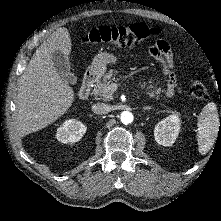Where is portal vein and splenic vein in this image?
<instances>
[{
	"instance_id": "1",
	"label": "portal vein and splenic vein",
	"mask_w": 221,
	"mask_h": 221,
	"mask_svg": "<svg viewBox=\"0 0 221 221\" xmlns=\"http://www.w3.org/2000/svg\"><path fill=\"white\" fill-rule=\"evenodd\" d=\"M110 88L115 91L117 89V85L115 83H112Z\"/></svg>"
}]
</instances>
